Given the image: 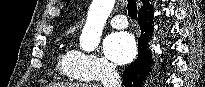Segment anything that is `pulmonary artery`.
<instances>
[{"mask_svg": "<svg viewBox=\"0 0 205 87\" xmlns=\"http://www.w3.org/2000/svg\"><path fill=\"white\" fill-rule=\"evenodd\" d=\"M110 25L116 29H123L128 26V21L125 15L119 14L109 20Z\"/></svg>", "mask_w": 205, "mask_h": 87, "instance_id": "1", "label": "pulmonary artery"}]
</instances>
